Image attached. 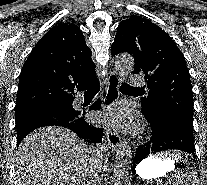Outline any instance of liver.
Returning a JSON list of instances; mask_svg holds the SVG:
<instances>
[{"label": "liver", "instance_id": "liver-1", "mask_svg": "<svg viewBox=\"0 0 207 185\" xmlns=\"http://www.w3.org/2000/svg\"><path fill=\"white\" fill-rule=\"evenodd\" d=\"M93 149L65 127L36 129L15 153L13 185H86Z\"/></svg>", "mask_w": 207, "mask_h": 185}]
</instances>
